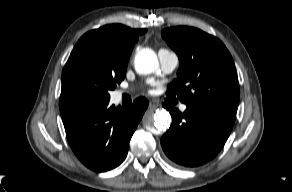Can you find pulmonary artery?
<instances>
[{
  "instance_id": "e3ab8cb5",
  "label": "pulmonary artery",
  "mask_w": 292,
  "mask_h": 192,
  "mask_svg": "<svg viewBox=\"0 0 292 192\" xmlns=\"http://www.w3.org/2000/svg\"><path fill=\"white\" fill-rule=\"evenodd\" d=\"M158 58L160 61L161 69L163 73L169 74L175 70L179 63L178 56L175 52L168 49H160L158 51ZM187 106L185 104L180 105V110L184 112Z\"/></svg>"
}]
</instances>
